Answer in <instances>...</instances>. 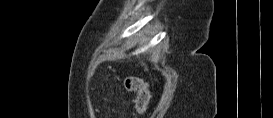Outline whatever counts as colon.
<instances>
[{
  "label": "colon",
  "mask_w": 273,
  "mask_h": 118,
  "mask_svg": "<svg viewBox=\"0 0 273 118\" xmlns=\"http://www.w3.org/2000/svg\"><path fill=\"white\" fill-rule=\"evenodd\" d=\"M124 87L127 91L136 94L134 103L135 111L137 115H143L147 110L150 98L149 91L144 81L139 77L130 76L125 78Z\"/></svg>",
  "instance_id": "obj_1"
}]
</instances>
